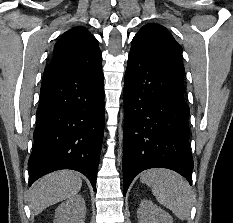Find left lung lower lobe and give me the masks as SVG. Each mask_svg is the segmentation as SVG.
<instances>
[{
    "mask_svg": "<svg viewBox=\"0 0 233 223\" xmlns=\"http://www.w3.org/2000/svg\"><path fill=\"white\" fill-rule=\"evenodd\" d=\"M184 74L132 45L124 80V195L141 171L163 167L192 184Z\"/></svg>",
    "mask_w": 233,
    "mask_h": 223,
    "instance_id": "left-lung-lower-lobe-1",
    "label": "left lung lower lobe"
}]
</instances>
